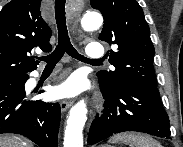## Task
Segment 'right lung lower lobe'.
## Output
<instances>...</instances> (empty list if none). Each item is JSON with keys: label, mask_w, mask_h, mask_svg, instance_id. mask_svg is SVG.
<instances>
[{"label": "right lung lower lobe", "mask_w": 183, "mask_h": 147, "mask_svg": "<svg viewBox=\"0 0 183 147\" xmlns=\"http://www.w3.org/2000/svg\"><path fill=\"white\" fill-rule=\"evenodd\" d=\"M28 78L25 73L0 81V134H20L40 147H57L60 105L30 101L24 88Z\"/></svg>", "instance_id": "98d812e1"}]
</instances>
